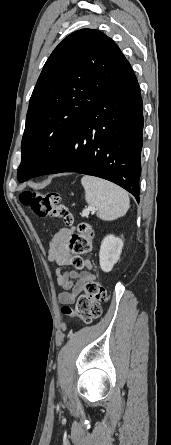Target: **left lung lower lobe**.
<instances>
[{"instance_id":"left-lung-lower-lobe-1","label":"left lung lower lobe","mask_w":171,"mask_h":445,"mask_svg":"<svg viewBox=\"0 0 171 445\" xmlns=\"http://www.w3.org/2000/svg\"><path fill=\"white\" fill-rule=\"evenodd\" d=\"M143 103L134 73L107 91L76 122L33 177L76 172L109 180L139 201Z\"/></svg>"}]
</instances>
